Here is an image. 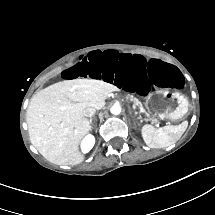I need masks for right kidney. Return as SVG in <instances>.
Returning <instances> with one entry per match:
<instances>
[{
	"mask_svg": "<svg viewBox=\"0 0 215 215\" xmlns=\"http://www.w3.org/2000/svg\"><path fill=\"white\" fill-rule=\"evenodd\" d=\"M95 144V138L93 135L88 134L85 136V138L82 140L81 143V150L83 153H88Z\"/></svg>",
	"mask_w": 215,
	"mask_h": 215,
	"instance_id": "right-kidney-1",
	"label": "right kidney"
}]
</instances>
